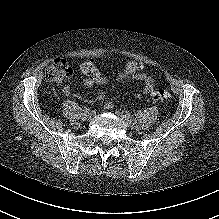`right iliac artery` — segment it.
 <instances>
[{"label": "right iliac artery", "instance_id": "1", "mask_svg": "<svg viewBox=\"0 0 219 219\" xmlns=\"http://www.w3.org/2000/svg\"><path fill=\"white\" fill-rule=\"evenodd\" d=\"M83 111H84V113H89V112H90V108L85 107V108L83 109Z\"/></svg>", "mask_w": 219, "mask_h": 219}]
</instances>
